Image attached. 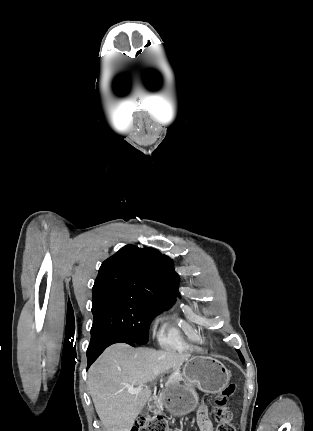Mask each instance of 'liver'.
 Returning <instances> with one entry per match:
<instances>
[{"instance_id":"6515ba94","label":"liver","mask_w":313,"mask_h":431,"mask_svg":"<svg viewBox=\"0 0 313 431\" xmlns=\"http://www.w3.org/2000/svg\"><path fill=\"white\" fill-rule=\"evenodd\" d=\"M190 356L171 350L134 349L125 343L107 348L88 373L89 392L106 431H130L150 399L147 383L166 371H171L170 379H176ZM130 387L143 389L130 394Z\"/></svg>"}]
</instances>
